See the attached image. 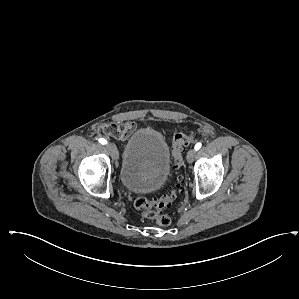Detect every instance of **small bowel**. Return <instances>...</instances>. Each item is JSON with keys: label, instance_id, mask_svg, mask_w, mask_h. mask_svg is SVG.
I'll return each instance as SVG.
<instances>
[{"label": "small bowel", "instance_id": "small-bowel-1", "mask_svg": "<svg viewBox=\"0 0 299 299\" xmlns=\"http://www.w3.org/2000/svg\"><path fill=\"white\" fill-rule=\"evenodd\" d=\"M136 123L133 121H128V122H124V123H120V124H108L105 127V131L119 139V140H125L127 139L130 135H132L134 133V131L136 130Z\"/></svg>", "mask_w": 299, "mask_h": 299}]
</instances>
